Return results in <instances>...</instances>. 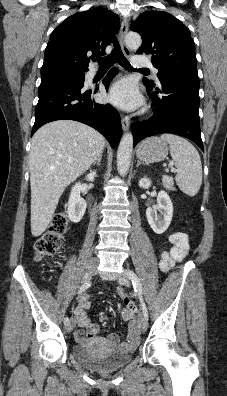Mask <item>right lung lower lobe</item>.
Instances as JSON below:
<instances>
[{
	"label": "right lung lower lobe",
	"instance_id": "1",
	"mask_svg": "<svg viewBox=\"0 0 227 396\" xmlns=\"http://www.w3.org/2000/svg\"><path fill=\"white\" fill-rule=\"evenodd\" d=\"M116 73L114 68L104 78L106 89ZM96 91L87 89L84 81L68 77L41 81L31 135L48 122L71 119L95 128L115 148L122 133L120 115L110 104L96 103L92 98Z\"/></svg>",
	"mask_w": 227,
	"mask_h": 396
}]
</instances>
